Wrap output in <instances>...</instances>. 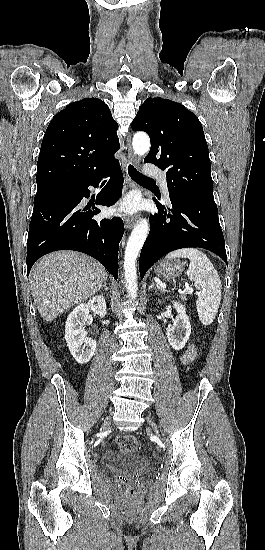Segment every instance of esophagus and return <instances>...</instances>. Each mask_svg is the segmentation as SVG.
Listing matches in <instances>:
<instances>
[{
	"instance_id": "obj_1",
	"label": "esophagus",
	"mask_w": 265,
	"mask_h": 550,
	"mask_svg": "<svg viewBox=\"0 0 265 550\" xmlns=\"http://www.w3.org/2000/svg\"><path fill=\"white\" fill-rule=\"evenodd\" d=\"M126 142H127V149H128V153H127L128 163L136 165L138 160H137L136 155L132 152V149H131V136L130 135L127 136ZM137 220H138V216L125 218V220H124L125 227L128 228V229L132 228L134 226V224L137 222Z\"/></svg>"
}]
</instances>
